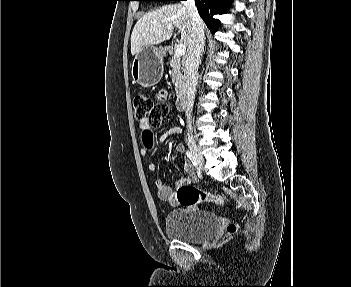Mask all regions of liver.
I'll return each mask as SVG.
<instances>
[{
  "label": "liver",
  "instance_id": "liver-1",
  "mask_svg": "<svg viewBox=\"0 0 351 287\" xmlns=\"http://www.w3.org/2000/svg\"><path fill=\"white\" fill-rule=\"evenodd\" d=\"M176 27L181 33V40L187 48L192 41L191 19L183 4H170L143 15L135 24L131 34V54L136 55L146 45H157L172 37V30Z\"/></svg>",
  "mask_w": 351,
  "mask_h": 287
}]
</instances>
